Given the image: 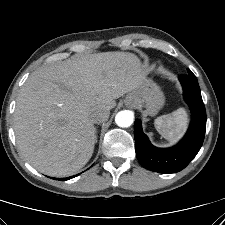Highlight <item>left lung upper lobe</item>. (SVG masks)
Segmentation results:
<instances>
[{"instance_id":"5c2ea615","label":"left lung upper lobe","mask_w":225,"mask_h":225,"mask_svg":"<svg viewBox=\"0 0 225 225\" xmlns=\"http://www.w3.org/2000/svg\"><path fill=\"white\" fill-rule=\"evenodd\" d=\"M188 73H189V74H193L189 69H188Z\"/></svg>"}]
</instances>
